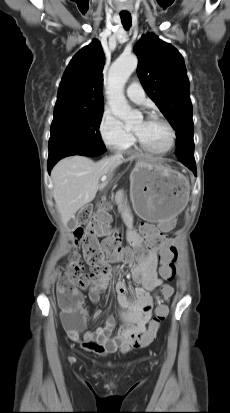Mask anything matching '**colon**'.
<instances>
[{"label": "colon", "mask_w": 230, "mask_h": 413, "mask_svg": "<svg viewBox=\"0 0 230 413\" xmlns=\"http://www.w3.org/2000/svg\"><path fill=\"white\" fill-rule=\"evenodd\" d=\"M101 198L106 200L108 195L103 193ZM77 221L78 225L74 230L73 245L82 248L84 261L76 252L71 253L69 262L59 279V303L65 311L71 313L74 323L80 322L81 313L78 310L79 297L74 294L70 286L84 288L89 283L101 284L103 276L109 270L107 263L109 257H119L124 261L141 260L159 250L161 265L157 266V273L165 280H174L177 247L175 243L165 241L161 234L148 242L146 246L134 252L130 249H121V233L117 229L113 230L102 244L98 243L97 237L105 231L110 223V215L105 204L101 203L96 211H93L89 206L82 208L77 214ZM84 262L90 266V273L85 272ZM168 299L162 297L158 300L155 316L151 320L148 329L142 335L133 339L127 346V350L146 346L155 338L160 323L168 314L166 306Z\"/></svg>", "instance_id": "colon-1"}]
</instances>
